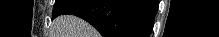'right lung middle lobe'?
Wrapping results in <instances>:
<instances>
[{
    "mask_svg": "<svg viewBox=\"0 0 219 37\" xmlns=\"http://www.w3.org/2000/svg\"><path fill=\"white\" fill-rule=\"evenodd\" d=\"M71 0H56L54 9H53V14L52 17H55L57 13L60 11V9L68 4Z\"/></svg>",
    "mask_w": 219,
    "mask_h": 37,
    "instance_id": "1",
    "label": "right lung middle lobe"
}]
</instances>
